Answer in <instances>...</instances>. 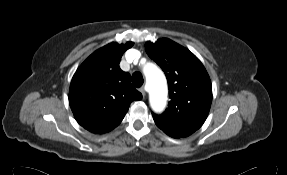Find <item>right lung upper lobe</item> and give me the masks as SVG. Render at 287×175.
Returning a JSON list of instances; mask_svg holds the SVG:
<instances>
[{"label":"right lung upper lobe","instance_id":"right-lung-upper-lobe-1","mask_svg":"<svg viewBox=\"0 0 287 175\" xmlns=\"http://www.w3.org/2000/svg\"><path fill=\"white\" fill-rule=\"evenodd\" d=\"M115 42L92 53L75 72L69 90V104L77 122L86 130L103 134L123 120L132 101L142 94L130 82V74L119 63L133 46Z\"/></svg>","mask_w":287,"mask_h":175}]
</instances>
